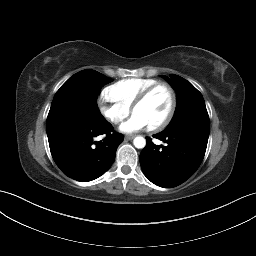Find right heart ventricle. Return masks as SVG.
Returning a JSON list of instances; mask_svg holds the SVG:
<instances>
[{"mask_svg":"<svg viewBox=\"0 0 256 256\" xmlns=\"http://www.w3.org/2000/svg\"><path fill=\"white\" fill-rule=\"evenodd\" d=\"M156 83L158 81L154 79L129 78L109 86L106 92L113 100L131 108L137 97L145 89Z\"/></svg>","mask_w":256,"mask_h":256,"instance_id":"right-heart-ventricle-1","label":"right heart ventricle"}]
</instances>
